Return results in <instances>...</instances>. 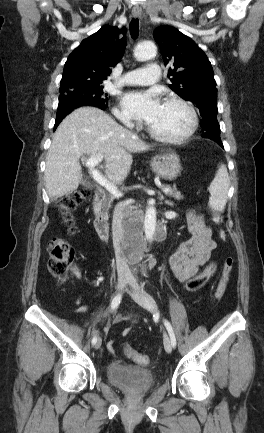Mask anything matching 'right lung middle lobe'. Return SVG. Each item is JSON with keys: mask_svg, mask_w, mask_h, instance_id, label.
<instances>
[{"mask_svg": "<svg viewBox=\"0 0 264 433\" xmlns=\"http://www.w3.org/2000/svg\"><path fill=\"white\" fill-rule=\"evenodd\" d=\"M107 99L108 94L103 91L102 85L70 90L59 97L57 118H63L73 109L89 103L105 107Z\"/></svg>", "mask_w": 264, "mask_h": 433, "instance_id": "right-lung-middle-lobe-1", "label": "right lung middle lobe"}]
</instances>
